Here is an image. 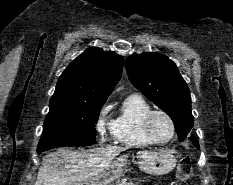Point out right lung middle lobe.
<instances>
[{
  "label": "right lung middle lobe",
  "mask_w": 233,
  "mask_h": 185,
  "mask_svg": "<svg viewBox=\"0 0 233 185\" xmlns=\"http://www.w3.org/2000/svg\"><path fill=\"white\" fill-rule=\"evenodd\" d=\"M104 101L52 97L37 152L60 146H90L96 141L95 123Z\"/></svg>",
  "instance_id": "dd1d6c3e"
}]
</instances>
